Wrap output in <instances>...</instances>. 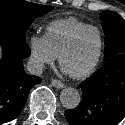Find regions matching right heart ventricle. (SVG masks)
<instances>
[{
    "mask_svg": "<svg viewBox=\"0 0 125 125\" xmlns=\"http://www.w3.org/2000/svg\"><path fill=\"white\" fill-rule=\"evenodd\" d=\"M87 25L89 24L75 17L53 20L46 26L44 38L51 51L58 56L72 34Z\"/></svg>",
    "mask_w": 125,
    "mask_h": 125,
    "instance_id": "obj_1",
    "label": "right heart ventricle"
}]
</instances>
